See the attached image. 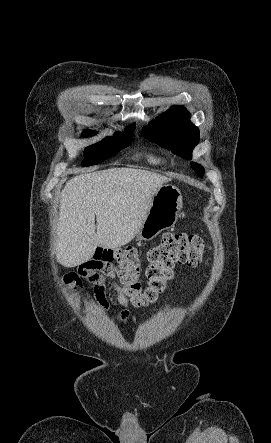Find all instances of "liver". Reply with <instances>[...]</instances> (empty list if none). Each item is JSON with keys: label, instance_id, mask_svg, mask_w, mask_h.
I'll list each match as a JSON object with an SVG mask.
<instances>
[{"label": "liver", "instance_id": "obj_1", "mask_svg": "<svg viewBox=\"0 0 271 443\" xmlns=\"http://www.w3.org/2000/svg\"><path fill=\"white\" fill-rule=\"evenodd\" d=\"M165 182L170 178L134 168L85 172L69 180L62 190L57 223L59 263L73 267L89 261L96 247L114 249L129 243Z\"/></svg>", "mask_w": 271, "mask_h": 443}]
</instances>
